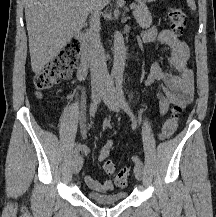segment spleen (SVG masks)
Returning a JSON list of instances; mask_svg holds the SVG:
<instances>
[{
	"mask_svg": "<svg viewBox=\"0 0 216 217\" xmlns=\"http://www.w3.org/2000/svg\"><path fill=\"white\" fill-rule=\"evenodd\" d=\"M187 4L191 8V10L195 12L196 10L195 0H187Z\"/></svg>",
	"mask_w": 216,
	"mask_h": 217,
	"instance_id": "spleen-1",
	"label": "spleen"
}]
</instances>
